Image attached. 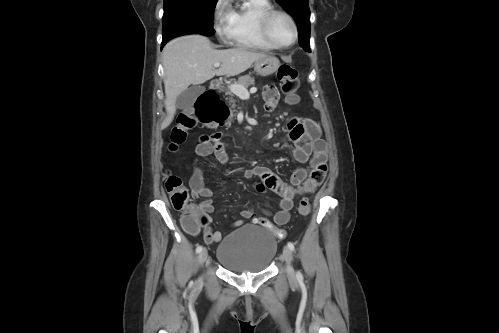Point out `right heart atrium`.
<instances>
[{
  "label": "right heart atrium",
  "mask_w": 499,
  "mask_h": 333,
  "mask_svg": "<svg viewBox=\"0 0 499 333\" xmlns=\"http://www.w3.org/2000/svg\"><path fill=\"white\" fill-rule=\"evenodd\" d=\"M212 24L219 39L230 40L232 16L228 0H216L212 10Z\"/></svg>",
  "instance_id": "d8ad5b80"
}]
</instances>
